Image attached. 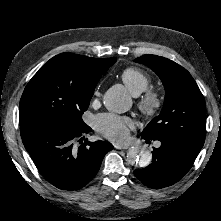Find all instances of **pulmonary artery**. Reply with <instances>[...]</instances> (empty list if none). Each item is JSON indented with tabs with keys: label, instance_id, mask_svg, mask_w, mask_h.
<instances>
[{
	"label": "pulmonary artery",
	"instance_id": "e3ab8cb5",
	"mask_svg": "<svg viewBox=\"0 0 221 221\" xmlns=\"http://www.w3.org/2000/svg\"><path fill=\"white\" fill-rule=\"evenodd\" d=\"M160 145H161L160 142H156V143H155V146H156V147H160Z\"/></svg>",
	"mask_w": 221,
	"mask_h": 221
}]
</instances>
